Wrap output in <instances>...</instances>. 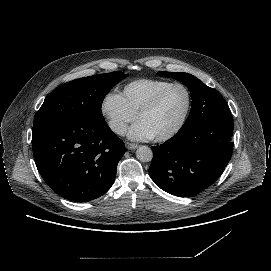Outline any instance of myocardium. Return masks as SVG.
I'll return each instance as SVG.
<instances>
[{"label": "myocardium", "mask_w": 271, "mask_h": 271, "mask_svg": "<svg viewBox=\"0 0 271 271\" xmlns=\"http://www.w3.org/2000/svg\"><path fill=\"white\" fill-rule=\"evenodd\" d=\"M183 87L188 95V105H187V109L186 112L182 118V120L180 121V123L169 133L159 136V137H153V140L155 142H159V143H163V142H167L170 141L172 139H174L185 127V125L187 124L190 115L192 113V109H193V105H194V95L193 92L191 90V88L182 83V82H172L170 83L168 86H166L165 88H163L162 90H160L153 98L152 100L146 104L137 114L136 119L139 120L141 117L151 113L152 111H154L158 105L160 104V102L162 101V99L165 97V95L174 87Z\"/></svg>", "instance_id": "obj_1"}]
</instances>
